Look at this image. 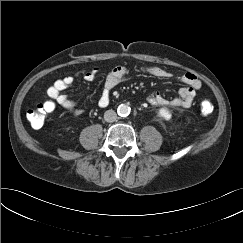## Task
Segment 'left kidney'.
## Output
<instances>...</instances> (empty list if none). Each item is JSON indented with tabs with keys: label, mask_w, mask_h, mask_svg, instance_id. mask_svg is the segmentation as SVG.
<instances>
[{
	"label": "left kidney",
	"mask_w": 243,
	"mask_h": 243,
	"mask_svg": "<svg viewBox=\"0 0 243 243\" xmlns=\"http://www.w3.org/2000/svg\"><path fill=\"white\" fill-rule=\"evenodd\" d=\"M158 116L165 120L171 119V113L167 108H160L158 111Z\"/></svg>",
	"instance_id": "obj_1"
}]
</instances>
